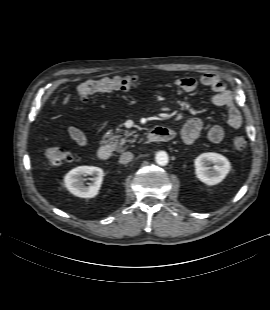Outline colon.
Wrapping results in <instances>:
<instances>
[{"label": "colon", "mask_w": 270, "mask_h": 310, "mask_svg": "<svg viewBox=\"0 0 270 310\" xmlns=\"http://www.w3.org/2000/svg\"><path fill=\"white\" fill-rule=\"evenodd\" d=\"M137 84V78L134 76L105 78L100 81H87L78 86L77 99L85 100L92 92L95 91H112L128 90ZM248 138L244 135L236 136L233 139V146L236 150L242 151L247 147ZM47 160L54 164L60 165L70 161V153L62 147H51L46 150Z\"/></svg>", "instance_id": "colon-1"}]
</instances>
